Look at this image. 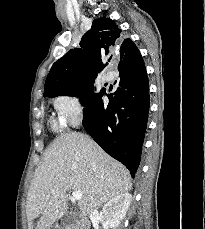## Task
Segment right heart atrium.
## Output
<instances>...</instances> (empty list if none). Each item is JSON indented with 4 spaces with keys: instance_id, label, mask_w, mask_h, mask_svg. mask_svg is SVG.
Returning <instances> with one entry per match:
<instances>
[{
    "instance_id": "d8ad5b80",
    "label": "right heart atrium",
    "mask_w": 205,
    "mask_h": 229,
    "mask_svg": "<svg viewBox=\"0 0 205 229\" xmlns=\"http://www.w3.org/2000/svg\"><path fill=\"white\" fill-rule=\"evenodd\" d=\"M59 122L65 127H78L85 116V103L76 94H66L54 100Z\"/></svg>"
}]
</instances>
